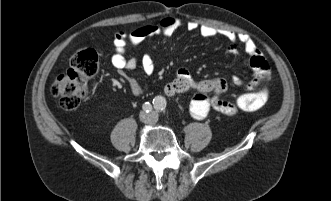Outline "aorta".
<instances>
[{
    "instance_id": "obj_1",
    "label": "aorta",
    "mask_w": 331,
    "mask_h": 201,
    "mask_svg": "<svg viewBox=\"0 0 331 201\" xmlns=\"http://www.w3.org/2000/svg\"><path fill=\"white\" fill-rule=\"evenodd\" d=\"M154 106H155V108H157V109H162V108H164V106H165V100L163 99V98H156L155 100H154Z\"/></svg>"
}]
</instances>
